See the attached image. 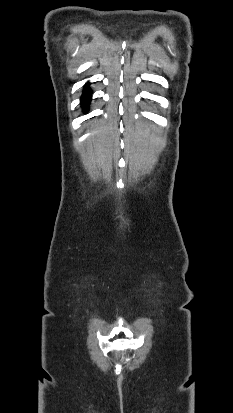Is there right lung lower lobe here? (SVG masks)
<instances>
[{"label":"right lung lower lobe","mask_w":233,"mask_h":413,"mask_svg":"<svg viewBox=\"0 0 233 413\" xmlns=\"http://www.w3.org/2000/svg\"><path fill=\"white\" fill-rule=\"evenodd\" d=\"M88 85L89 84L85 85V89H84V92H83L82 97H81V104H82L83 107L88 106V104L90 102L91 94H92V92L89 89Z\"/></svg>","instance_id":"98d812e1"}]
</instances>
